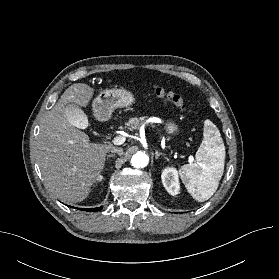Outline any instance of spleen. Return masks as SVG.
I'll list each match as a JSON object with an SVG mask.
<instances>
[{
    "label": "spleen",
    "mask_w": 279,
    "mask_h": 279,
    "mask_svg": "<svg viewBox=\"0 0 279 279\" xmlns=\"http://www.w3.org/2000/svg\"><path fill=\"white\" fill-rule=\"evenodd\" d=\"M203 141L195 162L180 168L179 174L188 192L198 202L208 200L217 190L224 172L225 146L217 127L205 120Z\"/></svg>",
    "instance_id": "1"
}]
</instances>
